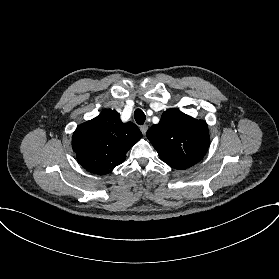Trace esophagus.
Returning a JSON list of instances; mask_svg holds the SVG:
<instances>
[{
	"mask_svg": "<svg viewBox=\"0 0 279 279\" xmlns=\"http://www.w3.org/2000/svg\"><path fill=\"white\" fill-rule=\"evenodd\" d=\"M140 130H141L142 134L145 135L148 130V125L144 124V125L140 126Z\"/></svg>",
	"mask_w": 279,
	"mask_h": 279,
	"instance_id": "esophagus-1",
	"label": "esophagus"
}]
</instances>
